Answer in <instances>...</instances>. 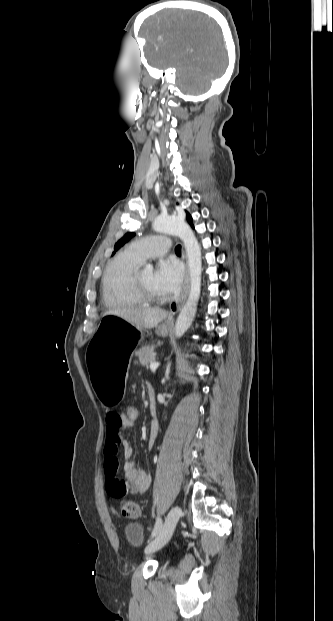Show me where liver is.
I'll return each instance as SVG.
<instances>
[{"instance_id": "6515ba94", "label": "liver", "mask_w": 333, "mask_h": 621, "mask_svg": "<svg viewBox=\"0 0 333 621\" xmlns=\"http://www.w3.org/2000/svg\"><path fill=\"white\" fill-rule=\"evenodd\" d=\"M104 315H117L125 321L140 328H154L167 317V312L160 308H125L109 310Z\"/></svg>"}]
</instances>
